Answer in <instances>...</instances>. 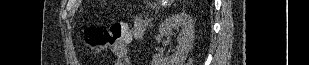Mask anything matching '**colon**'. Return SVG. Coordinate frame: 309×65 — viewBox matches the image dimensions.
<instances>
[{
  "mask_svg": "<svg viewBox=\"0 0 309 65\" xmlns=\"http://www.w3.org/2000/svg\"><path fill=\"white\" fill-rule=\"evenodd\" d=\"M127 32L124 23H113L104 27L91 26L84 31V41L94 52L115 45Z\"/></svg>",
  "mask_w": 309,
  "mask_h": 65,
  "instance_id": "colon-1",
  "label": "colon"
}]
</instances>
